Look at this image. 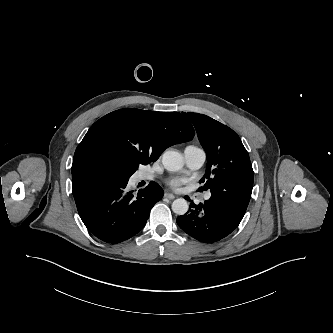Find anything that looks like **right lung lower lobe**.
I'll return each instance as SVG.
<instances>
[{"label":"right lung lower lobe","instance_id":"98d812e1","mask_svg":"<svg viewBox=\"0 0 333 333\" xmlns=\"http://www.w3.org/2000/svg\"><path fill=\"white\" fill-rule=\"evenodd\" d=\"M128 180L109 179L95 172L72 178L73 195L78 213L97 238L119 243L141 231L150 210L163 196L157 184L138 191L127 189Z\"/></svg>","mask_w":333,"mask_h":333}]
</instances>
